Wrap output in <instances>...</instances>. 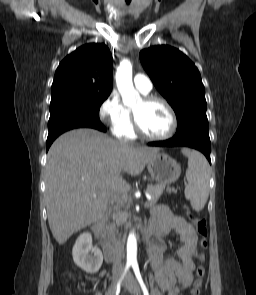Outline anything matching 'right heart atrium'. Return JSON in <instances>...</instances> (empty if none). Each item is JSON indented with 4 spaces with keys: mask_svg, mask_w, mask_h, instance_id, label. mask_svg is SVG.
Returning a JSON list of instances; mask_svg holds the SVG:
<instances>
[{
    "mask_svg": "<svg viewBox=\"0 0 256 295\" xmlns=\"http://www.w3.org/2000/svg\"><path fill=\"white\" fill-rule=\"evenodd\" d=\"M99 116L117 136L124 133L131 122L129 111L122 105L116 93H111L103 101Z\"/></svg>",
    "mask_w": 256,
    "mask_h": 295,
    "instance_id": "right-heart-atrium-1",
    "label": "right heart atrium"
}]
</instances>
